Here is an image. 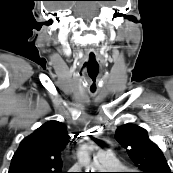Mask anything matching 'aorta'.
<instances>
[{
    "label": "aorta",
    "instance_id": "1",
    "mask_svg": "<svg viewBox=\"0 0 173 173\" xmlns=\"http://www.w3.org/2000/svg\"><path fill=\"white\" fill-rule=\"evenodd\" d=\"M78 160L85 167L87 172L94 169V167L90 163V155H89L88 150L79 151Z\"/></svg>",
    "mask_w": 173,
    "mask_h": 173
}]
</instances>
